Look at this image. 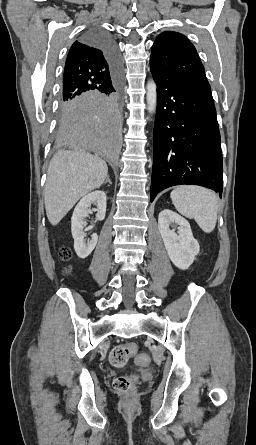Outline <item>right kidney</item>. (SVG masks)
Instances as JSON below:
<instances>
[{
    "instance_id": "obj_1",
    "label": "right kidney",
    "mask_w": 256,
    "mask_h": 445,
    "mask_svg": "<svg viewBox=\"0 0 256 445\" xmlns=\"http://www.w3.org/2000/svg\"><path fill=\"white\" fill-rule=\"evenodd\" d=\"M93 203L97 206V208L94 209V211H96V221L104 220L106 214V194L101 190H96L85 195L76 205L71 218L74 249L77 256L82 259L91 254L98 241L97 234L91 235V239L87 242L84 241V227L86 226L84 219L91 213L89 207Z\"/></svg>"
}]
</instances>
